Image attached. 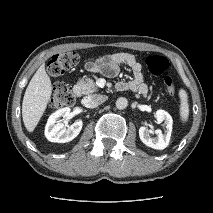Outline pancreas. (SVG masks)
<instances>
[{"label":"pancreas","mask_w":213,"mask_h":213,"mask_svg":"<svg viewBox=\"0 0 213 213\" xmlns=\"http://www.w3.org/2000/svg\"><path fill=\"white\" fill-rule=\"evenodd\" d=\"M77 86L79 88H81V92L82 94H91L93 92H96L98 87L96 85V83L92 80V79H89V78H86V79H80L78 82H77Z\"/></svg>","instance_id":"1"}]
</instances>
